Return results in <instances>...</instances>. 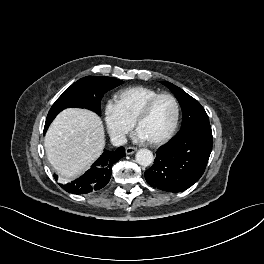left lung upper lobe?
Returning <instances> with one entry per match:
<instances>
[{
	"mask_svg": "<svg viewBox=\"0 0 264 264\" xmlns=\"http://www.w3.org/2000/svg\"><path fill=\"white\" fill-rule=\"evenodd\" d=\"M162 83L174 93L182 108L183 120L178 134L188 133L199 126L210 125L207 113L197 100L170 82Z\"/></svg>",
	"mask_w": 264,
	"mask_h": 264,
	"instance_id": "obj_1",
	"label": "left lung upper lobe"
}]
</instances>
